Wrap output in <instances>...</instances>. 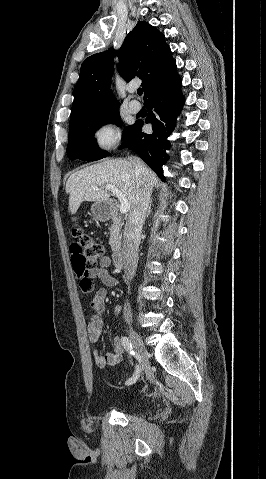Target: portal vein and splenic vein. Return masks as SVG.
Here are the masks:
<instances>
[{
    "label": "portal vein and splenic vein",
    "mask_w": 266,
    "mask_h": 479,
    "mask_svg": "<svg viewBox=\"0 0 266 479\" xmlns=\"http://www.w3.org/2000/svg\"><path fill=\"white\" fill-rule=\"evenodd\" d=\"M106 190L111 191L120 201V212L122 214H125L129 211L130 209V203L129 201L125 198V195L116 187L113 185H106ZM94 190H98V187H93Z\"/></svg>",
    "instance_id": "18ae733b"
}]
</instances>
